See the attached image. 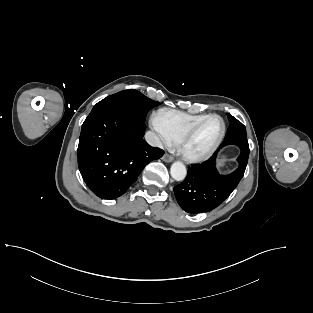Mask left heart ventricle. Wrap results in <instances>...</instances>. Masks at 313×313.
Wrapping results in <instances>:
<instances>
[{
  "mask_svg": "<svg viewBox=\"0 0 313 313\" xmlns=\"http://www.w3.org/2000/svg\"><path fill=\"white\" fill-rule=\"evenodd\" d=\"M221 130L222 124L218 118L213 117L206 120L186 144V151L193 155L208 152L217 141Z\"/></svg>",
  "mask_w": 313,
  "mask_h": 313,
  "instance_id": "1",
  "label": "left heart ventricle"
}]
</instances>
